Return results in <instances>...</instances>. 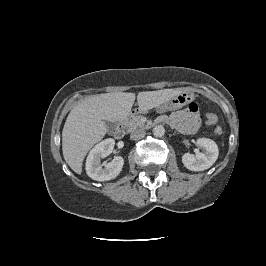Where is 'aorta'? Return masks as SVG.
I'll use <instances>...</instances> for the list:
<instances>
[{
    "label": "aorta",
    "mask_w": 266,
    "mask_h": 266,
    "mask_svg": "<svg viewBox=\"0 0 266 266\" xmlns=\"http://www.w3.org/2000/svg\"><path fill=\"white\" fill-rule=\"evenodd\" d=\"M152 131L155 137H162L165 134V128L162 125H156Z\"/></svg>",
    "instance_id": "762f6f07"
}]
</instances>
